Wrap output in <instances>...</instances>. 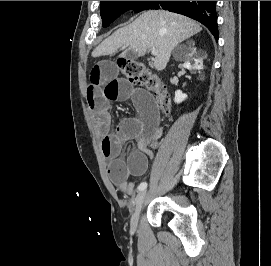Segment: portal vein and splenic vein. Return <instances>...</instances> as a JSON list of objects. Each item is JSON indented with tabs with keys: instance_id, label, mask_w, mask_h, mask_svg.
Segmentation results:
<instances>
[{
	"instance_id": "obj_1",
	"label": "portal vein and splenic vein",
	"mask_w": 271,
	"mask_h": 266,
	"mask_svg": "<svg viewBox=\"0 0 271 266\" xmlns=\"http://www.w3.org/2000/svg\"><path fill=\"white\" fill-rule=\"evenodd\" d=\"M151 53H152V55L156 56L158 54V50L157 49H152Z\"/></svg>"
}]
</instances>
